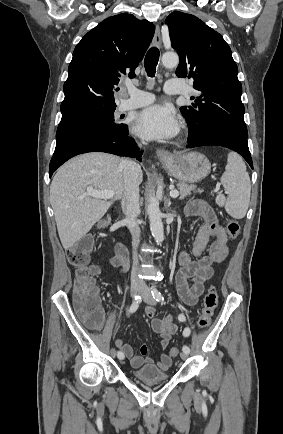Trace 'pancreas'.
Segmentation results:
<instances>
[{
    "mask_svg": "<svg viewBox=\"0 0 283 434\" xmlns=\"http://www.w3.org/2000/svg\"><path fill=\"white\" fill-rule=\"evenodd\" d=\"M178 190L180 192V198L183 199L189 195H192L194 193H202L203 190L197 189V187L195 185L192 184H187L184 182H179L177 184Z\"/></svg>",
    "mask_w": 283,
    "mask_h": 434,
    "instance_id": "pancreas-1",
    "label": "pancreas"
}]
</instances>
